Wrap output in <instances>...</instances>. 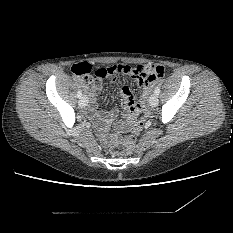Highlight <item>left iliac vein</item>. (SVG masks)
I'll return each instance as SVG.
<instances>
[{
	"label": "left iliac vein",
	"instance_id": "obj_1",
	"mask_svg": "<svg viewBox=\"0 0 233 233\" xmlns=\"http://www.w3.org/2000/svg\"><path fill=\"white\" fill-rule=\"evenodd\" d=\"M149 104L154 107L158 104V95H156L155 93H153L150 97H149Z\"/></svg>",
	"mask_w": 233,
	"mask_h": 233
}]
</instances>
